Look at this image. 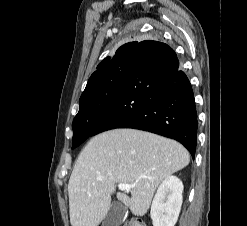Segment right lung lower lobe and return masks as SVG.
Masks as SVG:
<instances>
[{
  "label": "right lung lower lobe",
  "instance_id": "1",
  "mask_svg": "<svg viewBox=\"0 0 247 226\" xmlns=\"http://www.w3.org/2000/svg\"><path fill=\"white\" fill-rule=\"evenodd\" d=\"M197 112L189 79L167 44L139 42L120 89L91 136L114 128H135L175 139L194 158Z\"/></svg>",
  "mask_w": 247,
  "mask_h": 226
}]
</instances>
